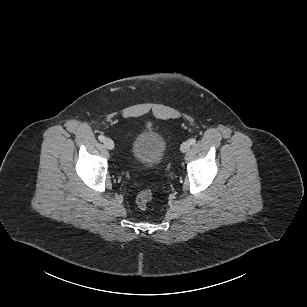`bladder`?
<instances>
[{
  "instance_id": "1",
  "label": "bladder",
  "mask_w": 307,
  "mask_h": 307,
  "mask_svg": "<svg viewBox=\"0 0 307 307\" xmlns=\"http://www.w3.org/2000/svg\"><path fill=\"white\" fill-rule=\"evenodd\" d=\"M166 150L167 143L164 137L151 128L138 132L130 146L133 159L149 168L156 167L163 161Z\"/></svg>"
}]
</instances>
